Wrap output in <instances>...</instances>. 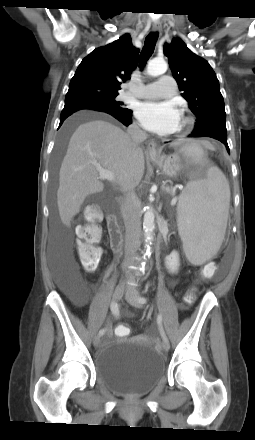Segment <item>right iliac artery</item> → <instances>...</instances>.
I'll list each match as a JSON object with an SVG mask.
<instances>
[{"instance_id":"1","label":"right iliac artery","mask_w":255,"mask_h":440,"mask_svg":"<svg viewBox=\"0 0 255 440\" xmlns=\"http://www.w3.org/2000/svg\"><path fill=\"white\" fill-rule=\"evenodd\" d=\"M110 309H111L112 314H113L115 317H118V316H119V309H118V305H117V303L112 302L111 305H110ZM104 333H105V329H101V330L99 331V337L102 336V335H104Z\"/></svg>"}]
</instances>
